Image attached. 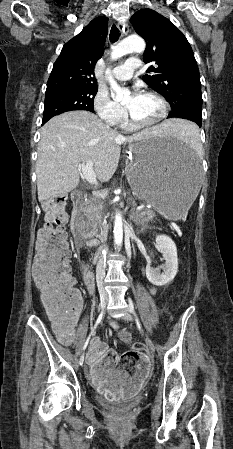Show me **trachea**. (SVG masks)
Wrapping results in <instances>:
<instances>
[{
  "label": "trachea",
  "instance_id": "3493384b",
  "mask_svg": "<svg viewBox=\"0 0 233 449\" xmlns=\"http://www.w3.org/2000/svg\"><path fill=\"white\" fill-rule=\"evenodd\" d=\"M110 41L112 43H115L119 38V29L116 27V25H113L111 27L110 35H109Z\"/></svg>",
  "mask_w": 233,
  "mask_h": 449
}]
</instances>
